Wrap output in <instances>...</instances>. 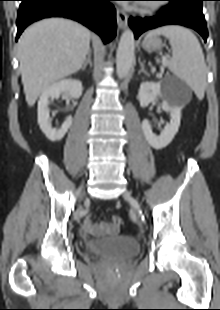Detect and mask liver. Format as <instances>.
I'll return each mask as SVG.
<instances>
[{"label":"liver","mask_w":220,"mask_h":310,"mask_svg":"<svg viewBox=\"0 0 220 310\" xmlns=\"http://www.w3.org/2000/svg\"><path fill=\"white\" fill-rule=\"evenodd\" d=\"M91 32L63 18L28 27L18 41V58L26 102L33 106L57 80L77 72L90 50Z\"/></svg>","instance_id":"liver-1"}]
</instances>
